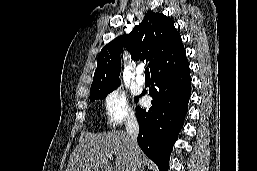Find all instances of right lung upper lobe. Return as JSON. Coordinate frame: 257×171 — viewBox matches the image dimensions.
<instances>
[{"label":"right lung upper lobe","instance_id":"cb5924a9","mask_svg":"<svg viewBox=\"0 0 257 171\" xmlns=\"http://www.w3.org/2000/svg\"><path fill=\"white\" fill-rule=\"evenodd\" d=\"M123 47L130 52L133 60L150 61L151 75L175 66L186 58L174 21L163 14L147 12L130 34L117 37L102 48L90 93L120 84V51Z\"/></svg>","mask_w":257,"mask_h":171}]
</instances>
